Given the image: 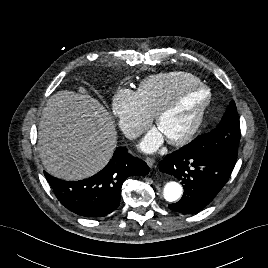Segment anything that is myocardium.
I'll return each instance as SVG.
<instances>
[{
    "mask_svg": "<svg viewBox=\"0 0 268 268\" xmlns=\"http://www.w3.org/2000/svg\"><path fill=\"white\" fill-rule=\"evenodd\" d=\"M189 90H197L202 92L203 98L189 127L178 137L167 138L168 143L174 146H182L187 144L199 131L204 121L206 111L212 100V93L210 89L202 83L185 85L181 87L172 97H170L168 101L154 115L155 123L157 126H159L161 120L171 111H173L178 105L181 95Z\"/></svg>",
    "mask_w": 268,
    "mask_h": 268,
    "instance_id": "myocardium-1",
    "label": "myocardium"
}]
</instances>
